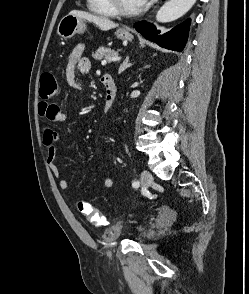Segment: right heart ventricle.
I'll list each match as a JSON object with an SVG mask.
<instances>
[{
	"mask_svg": "<svg viewBox=\"0 0 249 294\" xmlns=\"http://www.w3.org/2000/svg\"><path fill=\"white\" fill-rule=\"evenodd\" d=\"M87 6L91 12L100 16L113 17L117 15L108 0H87Z\"/></svg>",
	"mask_w": 249,
	"mask_h": 294,
	"instance_id": "1",
	"label": "right heart ventricle"
}]
</instances>
